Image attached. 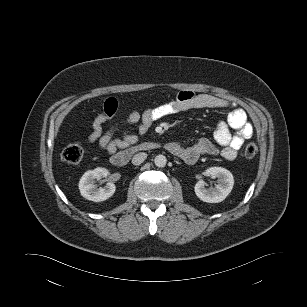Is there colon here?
I'll list each match as a JSON object with an SVG mask.
<instances>
[{
  "instance_id": "1",
  "label": "colon",
  "mask_w": 307,
  "mask_h": 307,
  "mask_svg": "<svg viewBox=\"0 0 307 307\" xmlns=\"http://www.w3.org/2000/svg\"><path fill=\"white\" fill-rule=\"evenodd\" d=\"M258 152L255 142H248L244 148V154L247 158H253ZM83 149L78 144H69L61 152V159L69 164H77L82 160Z\"/></svg>"
}]
</instances>
